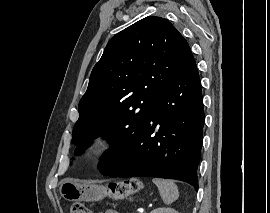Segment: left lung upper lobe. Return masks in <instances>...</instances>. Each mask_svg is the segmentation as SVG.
Masks as SVG:
<instances>
[{"label":"left lung upper lobe","mask_w":270,"mask_h":213,"mask_svg":"<svg viewBox=\"0 0 270 213\" xmlns=\"http://www.w3.org/2000/svg\"><path fill=\"white\" fill-rule=\"evenodd\" d=\"M194 64L188 43L167 19L149 16L116 34L79 102L73 129L76 153L90 145L96 132L108 131L112 143L138 132L158 97Z\"/></svg>","instance_id":"left-lung-upper-lobe-1"}]
</instances>
